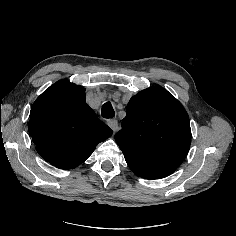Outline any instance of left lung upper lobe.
<instances>
[{
    "instance_id": "5c2ea615",
    "label": "left lung upper lobe",
    "mask_w": 236,
    "mask_h": 236,
    "mask_svg": "<svg viewBox=\"0 0 236 236\" xmlns=\"http://www.w3.org/2000/svg\"><path fill=\"white\" fill-rule=\"evenodd\" d=\"M115 140L136 175L164 178L180 166L189 151V117L172 94L152 86L131 98Z\"/></svg>"
}]
</instances>
